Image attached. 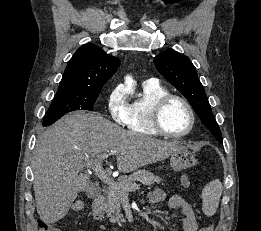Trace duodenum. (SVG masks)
Segmentation results:
<instances>
[{"mask_svg": "<svg viewBox=\"0 0 261 231\" xmlns=\"http://www.w3.org/2000/svg\"><path fill=\"white\" fill-rule=\"evenodd\" d=\"M93 213L99 217L103 214V195L99 194L93 201Z\"/></svg>", "mask_w": 261, "mask_h": 231, "instance_id": "410a0bca", "label": "duodenum"}]
</instances>
